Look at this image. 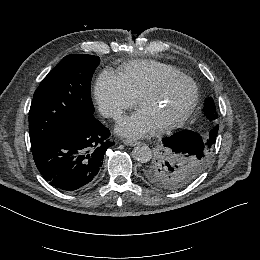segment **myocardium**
Returning a JSON list of instances; mask_svg holds the SVG:
<instances>
[{
    "label": "myocardium",
    "mask_w": 260,
    "mask_h": 260,
    "mask_svg": "<svg viewBox=\"0 0 260 260\" xmlns=\"http://www.w3.org/2000/svg\"><path fill=\"white\" fill-rule=\"evenodd\" d=\"M180 79L187 80L193 85L194 94L190 99L189 103L187 104V106L185 107V109L177 117L167 122L154 126V130L156 132H164L179 127L189 117L194 107L197 105L200 98L199 90L190 77H188L183 73H179L177 75L165 76L154 80L138 96L137 103L140 106L146 99L157 94L165 85Z\"/></svg>",
    "instance_id": "1"
}]
</instances>
